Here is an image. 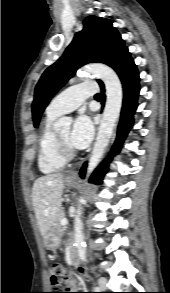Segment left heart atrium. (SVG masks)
Segmentation results:
<instances>
[{"instance_id": "obj_1", "label": "left heart atrium", "mask_w": 170, "mask_h": 293, "mask_svg": "<svg viewBox=\"0 0 170 293\" xmlns=\"http://www.w3.org/2000/svg\"><path fill=\"white\" fill-rule=\"evenodd\" d=\"M93 124L86 115L79 116L73 124L70 132L69 143L72 147L83 149L88 146L93 137Z\"/></svg>"}]
</instances>
